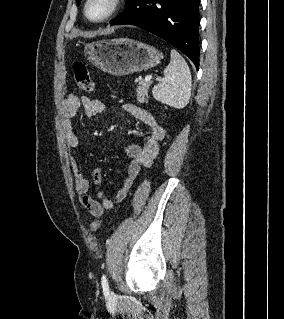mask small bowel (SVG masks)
Instances as JSON below:
<instances>
[{
  "label": "small bowel",
  "instance_id": "1",
  "mask_svg": "<svg viewBox=\"0 0 284 319\" xmlns=\"http://www.w3.org/2000/svg\"><path fill=\"white\" fill-rule=\"evenodd\" d=\"M105 108V104L98 99L79 97L73 93L66 96L62 103V117L65 139L69 147L78 148L80 146L79 137L73 127V119L79 110L82 109L87 116H96L101 114ZM123 109L145 125L147 137L142 145L129 144L125 146L124 151L129 158V163L122 185L116 191L113 199L107 198L98 188L101 183L100 169H95L89 179L80 171L77 160L73 158L71 161L76 192L80 196V204L94 217H101L106 210L113 207L114 203H119L126 197L128 189L140 170L153 163L158 155L160 142L165 137L164 128L151 113L133 104H125ZM92 184L98 188L95 196L90 192Z\"/></svg>",
  "mask_w": 284,
  "mask_h": 319
}]
</instances>
